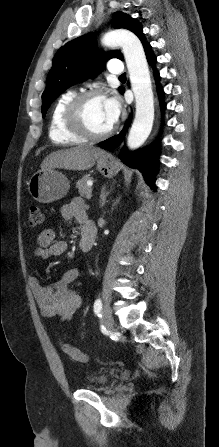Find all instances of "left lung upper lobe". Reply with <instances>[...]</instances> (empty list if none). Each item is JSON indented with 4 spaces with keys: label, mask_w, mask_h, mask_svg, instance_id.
I'll return each instance as SVG.
<instances>
[{
    "label": "left lung upper lobe",
    "mask_w": 219,
    "mask_h": 447,
    "mask_svg": "<svg viewBox=\"0 0 219 447\" xmlns=\"http://www.w3.org/2000/svg\"><path fill=\"white\" fill-rule=\"evenodd\" d=\"M115 29L124 28L143 39L141 24L123 12H115L112 22ZM94 34H85L66 43L54 56L53 65L47 76L46 89L42 94V116L45 117L53 100L72 84L87 77H94L103 70L104 62L111 58L123 60L122 54L114 50L99 53ZM120 92L123 90L119 88Z\"/></svg>",
    "instance_id": "obj_1"
}]
</instances>
